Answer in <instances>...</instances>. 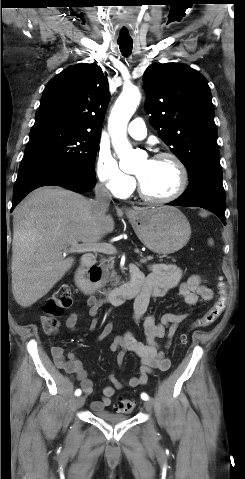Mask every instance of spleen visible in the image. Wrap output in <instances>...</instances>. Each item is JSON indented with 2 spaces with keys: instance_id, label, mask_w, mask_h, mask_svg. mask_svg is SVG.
<instances>
[{
  "instance_id": "3e777b00",
  "label": "spleen",
  "mask_w": 245,
  "mask_h": 479,
  "mask_svg": "<svg viewBox=\"0 0 245 479\" xmlns=\"http://www.w3.org/2000/svg\"><path fill=\"white\" fill-rule=\"evenodd\" d=\"M209 244H213V240L212 239H209Z\"/></svg>"
}]
</instances>
